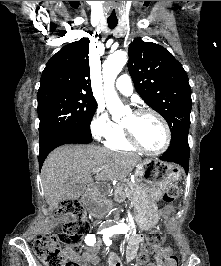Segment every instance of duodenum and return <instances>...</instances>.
Here are the masks:
<instances>
[{
	"label": "duodenum",
	"mask_w": 221,
	"mask_h": 266,
	"mask_svg": "<svg viewBox=\"0 0 221 266\" xmlns=\"http://www.w3.org/2000/svg\"><path fill=\"white\" fill-rule=\"evenodd\" d=\"M106 196H111V191H106L100 185H90L86 190V206H91L89 213L96 216V219H103V214L100 213L110 212L108 205L110 198H106Z\"/></svg>",
	"instance_id": "duodenum-1"
}]
</instances>
